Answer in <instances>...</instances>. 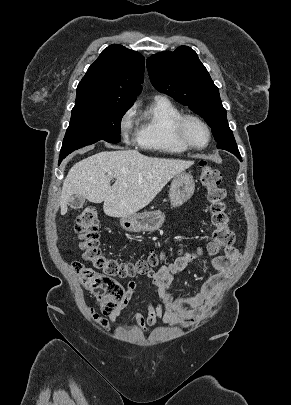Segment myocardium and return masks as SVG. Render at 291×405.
Masks as SVG:
<instances>
[{"label":"myocardium","instance_id":"1","mask_svg":"<svg viewBox=\"0 0 291 405\" xmlns=\"http://www.w3.org/2000/svg\"><path fill=\"white\" fill-rule=\"evenodd\" d=\"M190 121L199 123L205 129L207 133V141L203 146H196L188 139L186 134V126ZM174 135L179 143L191 150H203L207 148L212 138V132L207 122L195 114H182L174 124Z\"/></svg>","mask_w":291,"mask_h":405}]
</instances>
